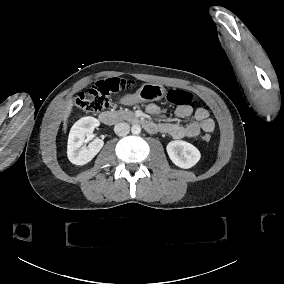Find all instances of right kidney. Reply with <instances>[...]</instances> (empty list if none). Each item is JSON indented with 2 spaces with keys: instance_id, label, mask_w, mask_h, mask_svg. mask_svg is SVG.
<instances>
[{
  "instance_id": "1",
  "label": "right kidney",
  "mask_w": 284,
  "mask_h": 284,
  "mask_svg": "<svg viewBox=\"0 0 284 284\" xmlns=\"http://www.w3.org/2000/svg\"><path fill=\"white\" fill-rule=\"evenodd\" d=\"M100 125L99 120L94 117H83L72 126L67 146V156L71 163L84 165L91 161L104 145L103 140L95 138L88 146H84L86 136Z\"/></svg>"
}]
</instances>
